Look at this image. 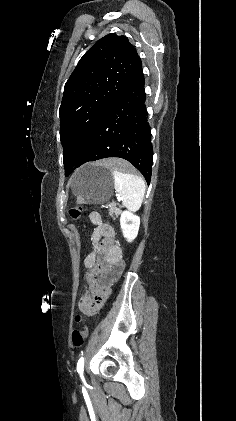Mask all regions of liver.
Segmentation results:
<instances>
[{
	"label": "liver",
	"mask_w": 236,
	"mask_h": 421,
	"mask_svg": "<svg viewBox=\"0 0 236 421\" xmlns=\"http://www.w3.org/2000/svg\"><path fill=\"white\" fill-rule=\"evenodd\" d=\"M117 162V160H119V162H121V158H104V160H100L99 164H102V166H108L109 162Z\"/></svg>",
	"instance_id": "1"
}]
</instances>
